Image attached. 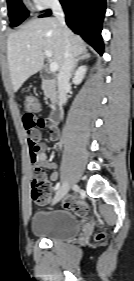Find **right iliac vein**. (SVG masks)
Instances as JSON below:
<instances>
[{"label": "right iliac vein", "mask_w": 134, "mask_h": 281, "mask_svg": "<svg viewBox=\"0 0 134 281\" xmlns=\"http://www.w3.org/2000/svg\"><path fill=\"white\" fill-rule=\"evenodd\" d=\"M70 189V183L68 181H66L57 191L54 200H53V204H56L58 201H60L68 192V190Z\"/></svg>", "instance_id": "63e3f726"}]
</instances>
